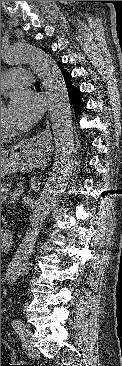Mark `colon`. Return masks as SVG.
<instances>
[{
	"mask_svg": "<svg viewBox=\"0 0 122 366\" xmlns=\"http://www.w3.org/2000/svg\"><path fill=\"white\" fill-rule=\"evenodd\" d=\"M1 357H4L3 362H10L12 359L9 347L3 342H1Z\"/></svg>",
	"mask_w": 122,
	"mask_h": 366,
	"instance_id": "colon-1",
	"label": "colon"
}]
</instances>
